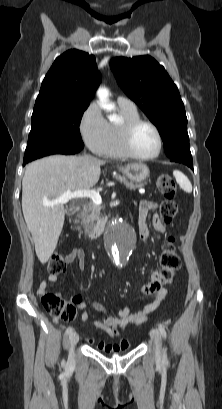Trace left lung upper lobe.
I'll list each match as a JSON object with an SVG mask.
<instances>
[{"mask_svg": "<svg viewBox=\"0 0 222 409\" xmlns=\"http://www.w3.org/2000/svg\"><path fill=\"white\" fill-rule=\"evenodd\" d=\"M110 67L125 94L157 126L166 155L191 154L184 104L164 67L150 56L116 57Z\"/></svg>", "mask_w": 222, "mask_h": 409, "instance_id": "1", "label": "left lung upper lobe"}]
</instances>
